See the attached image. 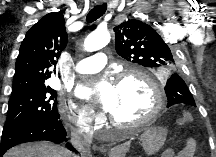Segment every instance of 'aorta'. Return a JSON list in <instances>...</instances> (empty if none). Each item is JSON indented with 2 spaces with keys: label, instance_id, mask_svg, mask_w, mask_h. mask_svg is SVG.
<instances>
[{
  "label": "aorta",
  "instance_id": "762f6f07",
  "mask_svg": "<svg viewBox=\"0 0 216 157\" xmlns=\"http://www.w3.org/2000/svg\"><path fill=\"white\" fill-rule=\"evenodd\" d=\"M110 40L107 30L98 29L89 34L84 41V49L87 52L98 51L105 47Z\"/></svg>",
  "mask_w": 216,
  "mask_h": 157
}]
</instances>
